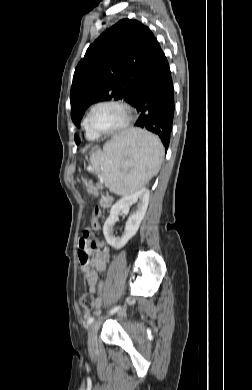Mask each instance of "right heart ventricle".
<instances>
[{"mask_svg": "<svg viewBox=\"0 0 252 390\" xmlns=\"http://www.w3.org/2000/svg\"><path fill=\"white\" fill-rule=\"evenodd\" d=\"M83 126H84V129H85V134H86V137L89 139V140H96L99 138V136L97 134H95L94 132H92L88 127H87V115L83 121Z\"/></svg>", "mask_w": 252, "mask_h": 390, "instance_id": "obj_1", "label": "right heart ventricle"}]
</instances>
